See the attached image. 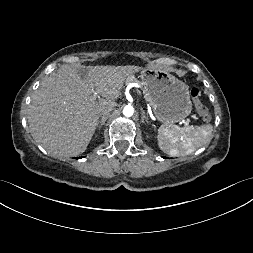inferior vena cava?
Listing matches in <instances>:
<instances>
[{
  "label": "inferior vena cava",
  "mask_w": 253,
  "mask_h": 253,
  "mask_svg": "<svg viewBox=\"0 0 253 253\" xmlns=\"http://www.w3.org/2000/svg\"><path fill=\"white\" fill-rule=\"evenodd\" d=\"M115 106H116V102H111L110 104L102 107L100 110V116L102 118L108 116L110 112L115 108Z\"/></svg>",
  "instance_id": "obj_1"
}]
</instances>
